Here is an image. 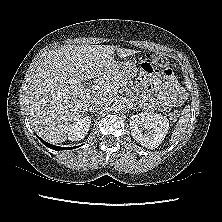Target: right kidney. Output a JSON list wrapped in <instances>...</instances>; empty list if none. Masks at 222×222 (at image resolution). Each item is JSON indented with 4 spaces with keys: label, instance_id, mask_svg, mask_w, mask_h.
Returning <instances> with one entry per match:
<instances>
[{
    "label": "right kidney",
    "instance_id": "1",
    "mask_svg": "<svg viewBox=\"0 0 222 222\" xmlns=\"http://www.w3.org/2000/svg\"><path fill=\"white\" fill-rule=\"evenodd\" d=\"M90 117H81L70 127L67 137L71 141H79L85 137L90 128Z\"/></svg>",
    "mask_w": 222,
    "mask_h": 222
}]
</instances>
